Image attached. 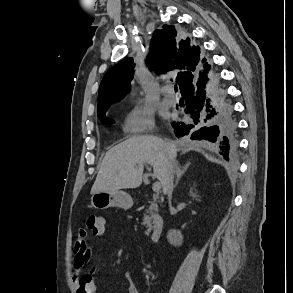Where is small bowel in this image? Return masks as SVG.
<instances>
[{"mask_svg":"<svg viewBox=\"0 0 293 293\" xmlns=\"http://www.w3.org/2000/svg\"><path fill=\"white\" fill-rule=\"evenodd\" d=\"M105 234L106 229L95 236L103 237ZM89 238L90 235L85 229H80L78 231L73 263V281L77 288V293H98V288L93 276L90 274L81 275L93 254L92 248L87 245V240ZM124 279L128 282L127 293H139L138 288L132 283V274L130 272H125Z\"/></svg>","mask_w":293,"mask_h":293,"instance_id":"1","label":"small bowel"}]
</instances>
